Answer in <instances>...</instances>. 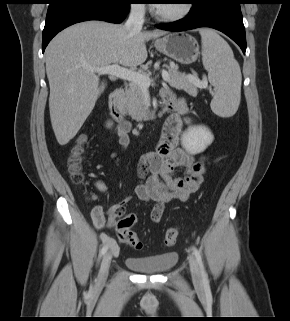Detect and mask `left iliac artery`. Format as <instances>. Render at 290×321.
Here are the masks:
<instances>
[{"label":"left iliac artery","mask_w":290,"mask_h":321,"mask_svg":"<svg viewBox=\"0 0 290 321\" xmlns=\"http://www.w3.org/2000/svg\"><path fill=\"white\" fill-rule=\"evenodd\" d=\"M192 249H193V253H194V255H195L196 259H197V262L199 264V267H200L203 284H204V286H208L209 285V281H208V277H207V273H206V270H205V266H204V262H203L201 253L195 246H193Z\"/></svg>","instance_id":"obj_1"}]
</instances>
